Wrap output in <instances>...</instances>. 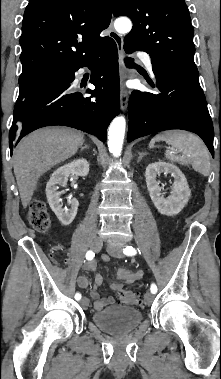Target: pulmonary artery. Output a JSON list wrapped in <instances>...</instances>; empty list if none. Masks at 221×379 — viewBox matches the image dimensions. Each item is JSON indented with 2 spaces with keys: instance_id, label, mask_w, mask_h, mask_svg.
<instances>
[{
  "instance_id": "1",
  "label": "pulmonary artery",
  "mask_w": 221,
  "mask_h": 379,
  "mask_svg": "<svg viewBox=\"0 0 221 379\" xmlns=\"http://www.w3.org/2000/svg\"><path fill=\"white\" fill-rule=\"evenodd\" d=\"M137 56H138L139 59H141L143 61V63L147 67V69L150 72H152V60H151V57L148 54L143 53V52L138 53Z\"/></svg>"
}]
</instances>
